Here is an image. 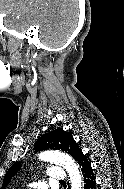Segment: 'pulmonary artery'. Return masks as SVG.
I'll use <instances>...</instances> for the list:
<instances>
[{
  "label": "pulmonary artery",
  "instance_id": "obj_1",
  "mask_svg": "<svg viewBox=\"0 0 124 189\" xmlns=\"http://www.w3.org/2000/svg\"><path fill=\"white\" fill-rule=\"evenodd\" d=\"M47 175L53 181H62L65 179V172L60 167H51L47 171Z\"/></svg>",
  "mask_w": 124,
  "mask_h": 189
}]
</instances>
